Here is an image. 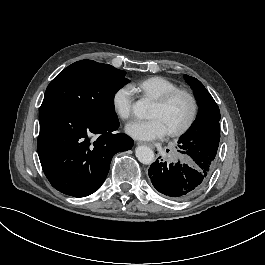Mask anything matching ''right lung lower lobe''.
Wrapping results in <instances>:
<instances>
[{"label":"right lung lower lobe","mask_w":265,"mask_h":265,"mask_svg":"<svg viewBox=\"0 0 265 265\" xmlns=\"http://www.w3.org/2000/svg\"><path fill=\"white\" fill-rule=\"evenodd\" d=\"M39 123L42 169L55 189L74 197L94 193L104 182L114 154L133 146L125 134H112L118 121L94 120L56 105L41 106Z\"/></svg>","instance_id":"1"}]
</instances>
